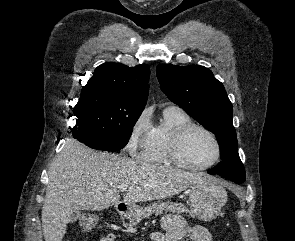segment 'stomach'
Wrapping results in <instances>:
<instances>
[{"instance_id":"obj_1","label":"stomach","mask_w":295,"mask_h":241,"mask_svg":"<svg viewBox=\"0 0 295 241\" xmlns=\"http://www.w3.org/2000/svg\"><path fill=\"white\" fill-rule=\"evenodd\" d=\"M227 201L226 190L218 183L209 180L199 185H194L189 189L190 212L202 221L215 219L221 207ZM120 212L130 217L137 209L136 205H128L126 209L119 208Z\"/></svg>"}]
</instances>
